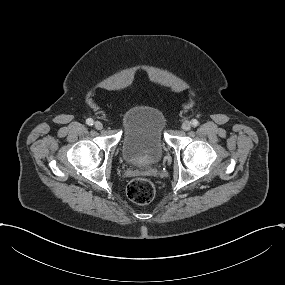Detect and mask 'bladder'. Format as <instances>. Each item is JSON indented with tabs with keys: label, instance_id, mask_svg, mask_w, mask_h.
<instances>
[{
	"label": "bladder",
	"instance_id": "bladder-1",
	"mask_svg": "<svg viewBox=\"0 0 285 285\" xmlns=\"http://www.w3.org/2000/svg\"><path fill=\"white\" fill-rule=\"evenodd\" d=\"M165 118L154 107L140 106L127 110L122 129L121 155L125 162L146 159L155 164L166 151Z\"/></svg>",
	"mask_w": 285,
	"mask_h": 285
}]
</instances>
